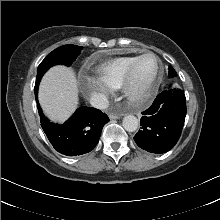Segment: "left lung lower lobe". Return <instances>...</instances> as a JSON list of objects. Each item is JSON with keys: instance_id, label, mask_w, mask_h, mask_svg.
Masks as SVG:
<instances>
[{"instance_id": "left-lung-lower-lobe-1", "label": "left lung lower lobe", "mask_w": 220, "mask_h": 220, "mask_svg": "<svg viewBox=\"0 0 220 220\" xmlns=\"http://www.w3.org/2000/svg\"><path fill=\"white\" fill-rule=\"evenodd\" d=\"M142 115V128L134 136L136 144L157 154L171 150L180 138L185 121L184 92L180 89L163 91Z\"/></svg>"}]
</instances>
